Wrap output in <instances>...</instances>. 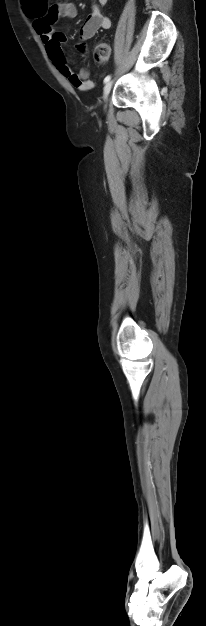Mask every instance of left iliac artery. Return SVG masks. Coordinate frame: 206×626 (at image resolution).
<instances>
[{
  "instance_id": "obj_1",
  "label": "left iliac artery",
  "mask_w": 206,
  "mask_h": 626,
  "mask_svg": "<svg viewBox=\"0 0 206 626\" xmlns=\"http://www.w3.org/2000/svg\"><path fill=\"white\" fill-rule=\"evenodd\" d=\"M111 79V75H108L104 78V83H107Z\"/></svg>"
}]
</instances>
